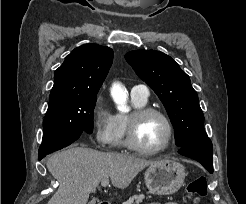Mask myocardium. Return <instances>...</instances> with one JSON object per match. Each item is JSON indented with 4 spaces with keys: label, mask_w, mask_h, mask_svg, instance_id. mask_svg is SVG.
I'll return each instance as SVG.
<instances>
[{
    "label": "myocardium",
    "mask_w": 246,
    "mask_h": 204,
    "mask_svg": "<svg viewBox=\"0 0 246 204\" xmlns=\"http://www.w3.org/2000/svg\"><path fill=\"white\" fill-rule=\"evenodd\" d=\"M150 115H157L161 117L166 123L167 130H168L167 138L163 143V145L154 149L143 147L138 142L137 139L138 128L141 121ZM173 138H174L173 123L169 118V116L163 111L153 107H143V108L135 109L130 115H128L127 129H126V145L131 150L145 155H155L168 149V147L172 143Z\"/></svg>",
    "instance_id": "f54148a6"
}]
</instances>
